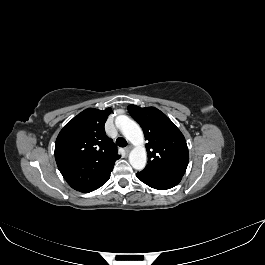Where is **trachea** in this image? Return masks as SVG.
Segmentation results:
<instances>
[{
  "label": "trachea",
  "instance_id": "obj_1",
  "mask_svg": "<svg viewBox=\"0 0 265 265\" xmlns=\"http://www.w3.org/2000/svg\"><path fill=\"white\" fill-rule=\"evenodd\" d=\"M116 144L119 146V147H126L127 146V141L123 138V137H118L116 139Z\"/></svg>",
  "mask_w": 265,
  "mask_h": 265
}]
</instances>
